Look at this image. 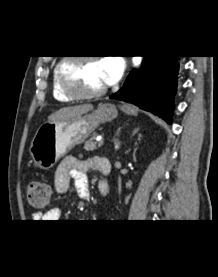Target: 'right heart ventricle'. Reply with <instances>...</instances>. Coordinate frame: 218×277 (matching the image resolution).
<instances>
[{"label": "right heart ventricle", "mask_w": 218, "mask_h": 277, "mask_svg": "<svg viewBox=\"0 0 218 277\" xmlns=\"http://www.w3.org/2000/svg\"><path fill=\"white\" fill-rule=\"evenodd\" d=\"M52 94L57 101H60V102L72 101V98L65 95L59 88L57 74H56V66L53 68V71H52Z\"/></svg>", "instance_id": "e07e8e85"}]
</instances>
